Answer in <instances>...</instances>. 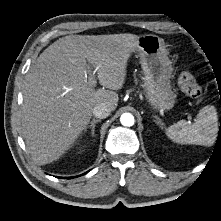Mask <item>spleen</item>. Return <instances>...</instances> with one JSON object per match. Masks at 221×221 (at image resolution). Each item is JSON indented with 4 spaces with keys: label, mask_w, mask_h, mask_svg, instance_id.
<instances>
[{
    "label": "spleen",
    "mask_w": 221,
    "mask_h": 221,
    "mask_svg": "<svg viewBox=\"0 0 221 221\" xmlns=\"http://www.w3.org/2000/svg\"><path fill=\"white\" fill-rule=\"evenodd\" d=\"M217 113L212 106L202 108L195 122L180 120L166 129V135L179 144L209 145L217 132Z\"/></svg>",
    "instance_id": "1"
}]
</instances>
